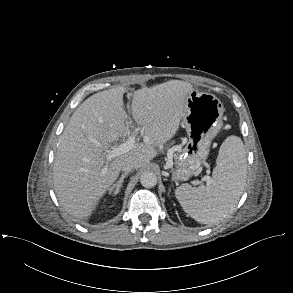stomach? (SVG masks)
I'll list each match as a JSON object with an SVG mask.
<instances>
[{
	"label": "stomach",
	"instance_id": "obj_1",
	"mask_svg": "<svg viewBox=\"0 0 293 293\" xmlns=\"http://www.w3.org/2000/svg\"><path fill=\"white\" fill-rule=\"evenodd\" d=\"M223 113L224 107L214 95L197 90L188 95L182 118L188 142L176 158L175 180H188L207 159L211 142L223 126Z\"/></svg>",
	"mask_w": 293,
	"mask_h": 293
}]
</instances>
